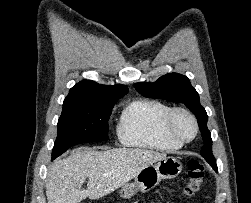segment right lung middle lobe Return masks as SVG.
I'll return each mask as SVG.
<instances>
[{"instance_id":"right-lung-middle-lobe-1","label":"right lung middle lobe","mask_w":251,"mask_h":203,"mask_svg":"<svg viewBox=\"0 0 251 203\" xmlns=\"http://www.w3.org/2000/svg\"><path fill=\"white\" fill-rule=\"evenodd\" d=\"M115 103L63 105L52 160L73 145L108 140V119Z\"/></svg>"}]
</instances>
